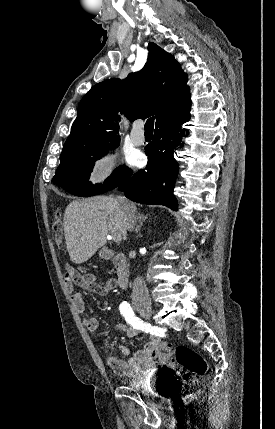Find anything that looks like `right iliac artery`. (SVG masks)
Wrapping results in <instances>:
<instances>
[{
  "label": "right iliac artery",
  "instance_id": "obj_1",
  "mask_svg": "<svg viewBox=\"0 0 275 429\" xmlns=\"http://www.w3.org/2000/svg\"><path fill=\"white\" fill-rule=\"evenodd\" d=\"M121 315L125 318L126 322L133 328L142 330L144 328L143 322L135 316L134 311L130 304L123 302L119 307Z\"/></svg>",
  "mask_w": 275,
  "mask_h": 429
}]
</instances>
